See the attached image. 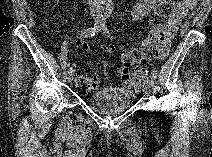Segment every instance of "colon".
<instances>
[{
	"label": "colon",
	"mask_w": 212,
	"mask_h": 157,
	"mask_svg": "<svg viewBox=\"0 0 212 157\" xmlns=\"http://www.w3.org/2000/svg\"><path fill=\"white\" fill-rule=\"evenodd\" d=\"M176 0H158L155 3L153 11L148 16L150 31L147 38L139 47H131L124 49L121 54L122 69L120 72L121 79L127 82L131 79H136L145 73L142 63L146 60L159 56L160 43L164 36H167L164 31L167 18L172 14ZM104 51L108 54L113 52L111 46H105ZM135 67L130 73L129 69ZM98 86L96 76L87 72H78L76 77V87L81 92L95 90Z\"/></svg>",
	"instance_id": "1"
}]
</instances>
